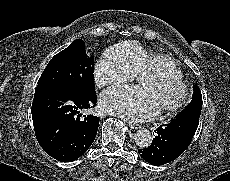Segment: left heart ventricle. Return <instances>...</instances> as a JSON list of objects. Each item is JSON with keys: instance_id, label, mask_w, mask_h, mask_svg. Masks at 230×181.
Here are the masks:
<instances>
[{"instance_id": "obj_1", "label": "left heart ventricle", "mask_w": 230, "mask_h": 181, "mask_svg": "<svg viewBox=\"0 0 230 181\" xmlns=\"http://www.w3.org/2000/svg\"><path fill=\"white\" fill-rule=\"evenodd\" d=\"M140 93L153 109L172 103L179 96L178 87L169 81L155 80L146 82Z\"/></svg>"}]
</instances>
